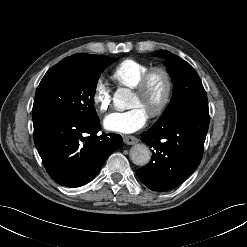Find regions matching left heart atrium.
<instances>
[{
  "mask_svg": "<svg viewBox=\"0 0 247 247\" xmlns=\"http://www.w3.org/2000/svg\"><path fill=\"white\" fill-rule=\"evenodd\" d=\"M149 114L141 107L114 111L104 119V127L113 132L129 134L141 129L147 122Z\"/></svg>",
  "mask_w": 247,
  "mask_h": 247,
  "instance_id": "1",
  "label": "left heart atrium"
}]
</instances>
